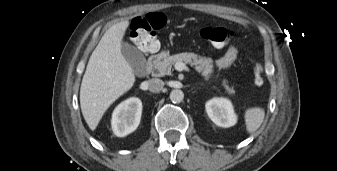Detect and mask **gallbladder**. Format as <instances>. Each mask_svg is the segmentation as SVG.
Returning a JSON list of instances; mask_svg holds the SVG:
<instances>
[{"instance_id": "1", "label": "gallbladder", "mask_w": 337, "mask_h": 171, "mask_svg": "<svg viewBox=\"0 0 337 171\" xmlns=\"http://www.w3.org/2000/svg\"><path fill=\"white\" fill-rule=\"evenodd\" d=\"M122 54L130 64L136 75H143L146 69V60L143 54L134 46L123 43Z\"/></svg>"}]
</instances>
